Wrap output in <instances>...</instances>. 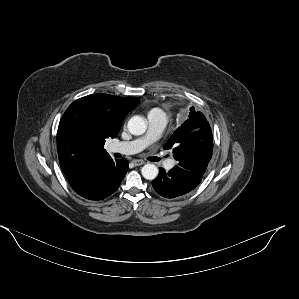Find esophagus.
I'll list each match as a JSON object with an SVG mask.
<instances>
[{
	"label": "esophagus",
	"instance_id": "34e87169",
	"mask_svg": "<svg viewBox=\"0 0 299 299\" xmlns=\"http://www.w3.org/2000/svg\"><path fill=\"white\" fill-rule=\"evenodd\" d=\"M132 163L135 165V166H141L143 165L145 162L143 160H139V159H134L132 161Z\"/></svg>",
	"mask_w": 299,
	"mask_h": 299
}]
</instances>
